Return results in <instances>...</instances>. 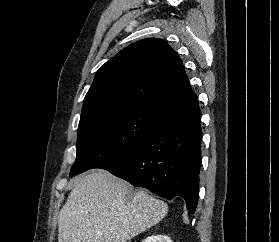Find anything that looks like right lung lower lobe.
Returning a JSON list of instances; mask_svg holds the SVG:
<instances>
[{"instance_id":"obj_1","label":"right lung lower lobe","mask_w":279,"mask_h":242,"mask_svg":"<svg viewBox=\"0 0 279 242\" xmlns=\"http://www.w3.org/2000/svg\"><path fill=\"white\" fill-rule=\"evenodd\" d=\"M200 119L198 99L166 109L148 136L100 168L161 197L181 196L193 214L199 197Z\"/></svg>"}]
</instances>
